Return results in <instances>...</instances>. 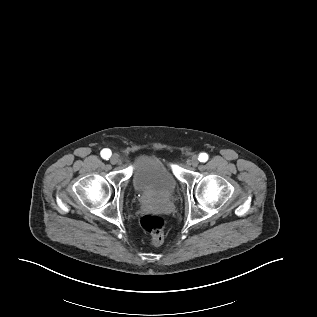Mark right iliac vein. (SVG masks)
<instances>
[{"label": "right iliac vein", "instance_id": "1", "mask_svg": "<svg viewBox=\"0 0 317 317\" xmlns=\"http://www.w3.org/2000/svg\"><path fill=\"white\" fill-rule=\"evenodd\" d=\"M110 162L113 165L119 163V157L117 155H112V157L110 158Z\"/></svg>", "mask_w": 317, "mask_h": 317}]
</instances>
